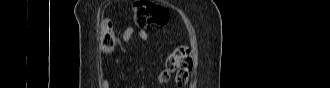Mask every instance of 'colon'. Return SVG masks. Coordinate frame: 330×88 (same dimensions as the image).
<instances>
[{"label":"colon","instance_id":"5ec220e1","mask_svg":"<svg viewBox=\"0 0 330 88\" xmlns=\"http://www.w3.org/2000/svg\"><path fill=\"white\" fill-rule=\"evenodd\" d=\"M134 22L140 28H150L163 25L167 21L166 10L149 1H138L133 8ZM117 43L116 34L109 23H104L101 28L100 47L103 53L113 52ZM193 68V57L188 46L181 45L172 50L165 61L160 74V81L167 82L173 74L176 81L183 85L188 81Z\"/></svg>","mask_w":330,"mask_h":88}]
</instances>
